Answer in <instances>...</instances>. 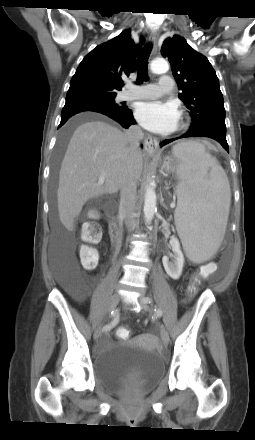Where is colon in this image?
<instances>
[{
  "mask_svg": "<svg viewBox=\"0 0 255 440\" xmlns=\"http://www.w3.org/2000/svg\"><path fill=\"white\" fill-rule=\"evenodd\" d=\"M100 236V229L94 223H88L83 226L81 238L85 244L81 246L79 253L82 265L87 269L95 268L98 263L99 251L93 244L100 239ZM198 287V283L191 286L187 290L186 295L188 297H193L196 294ZM116 334L121 339H128L131 333L128 328L120 327L117 329Z\"/></svg>",
  "mask_w": 255,
  "mask_h": 440,
  "instance_id": "colon-1",
  "label": "colon"
}]
</instances>
